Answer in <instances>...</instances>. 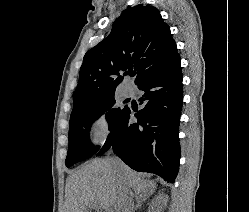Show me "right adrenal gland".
Returning a JSON list of instances; mask_svg holds the SVG:
<instances>
[{
    "label": "right adrenal gland",
    "instance_id": "2a0ac1e0",
    "mask_svg": "<svg viewBox=\"0 0 249 212\" xmlns=\"http://www.w3.org/2000/svg\"><path fill=\"white\" fill-rule=\"evenodd\" d=\"M145 200H147V198H144V200H142V198H136V206L135 208H133V212H135V210H139V208H141L143 202H145Z\"/></svg>",
    "mask_w": 249,
    "mask_h": 212
}]
</instances>
